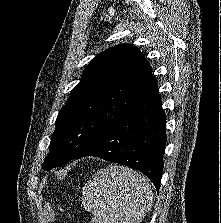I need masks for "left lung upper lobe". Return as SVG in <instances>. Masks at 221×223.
Wrapping results in <instances>:
<instances>
[{
    "label": "left lung upper lobe",
    "mask_w": 221,
    "mask_h": 223,
    "mask_svg": "<svg viewBox=\"0 0 221 223\" xmlns=\"http://www.w3.org/2000/svg\"><path fill=\"white\" fill-rule=\"evenodd\" d=\"M155 82L150 65L133 45L120 44L96 56L59 111L43 169L75 159Z\"/></svg>",
    "instance_id": "left-lung-upper-lobe-1"
}]
</instances>
